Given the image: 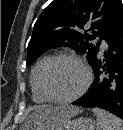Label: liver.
I'll list each match as a JSON object with an SVG mask.
<instances>
[{
	"label": "liver",
	"mask_w": 123,
	"mask_h": 130,
	"mask_svg": "<svg viewBox=\"0 0 123 130\" xmlns=\"http://www.w3.org/2000/svg\"><path fill=\"white\" fill-rule=\"evenodd\" d=\"M81 110L73 106H38L29 115L25 128L48 130L52 126L72 118Z\"/></svg>",
	"instance_id": "1"
}]
</instances>
